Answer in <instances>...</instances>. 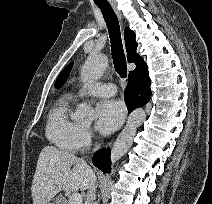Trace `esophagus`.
Wrapping results in <instances>:
<instances>
[{
  "instance_id": "1",
  "label": "esophagus",
  "mask_w": 212,
  "mask_h": 204,
  "mask_svg": "<svg viewBox=\"0 0 212 204\" xmlns=\"http://www.w3.org/2000/svg\"><path fill=\"white\" fill-rule=\"evenodd\" d=\"M114 10H115L117 16L119 17V19L122 20L121 13L118 11V9L116 7H114Z\"/></svg>"
}]
</instances>
